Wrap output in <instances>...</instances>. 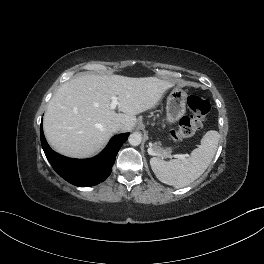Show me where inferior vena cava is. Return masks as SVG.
I'll use <instances>...</instances> for the list:
<instances>
[{
  "mask_svg": "<svg viewBox=\"0 0 264 264\" xmlns=\"http://www.w3.org/2000/svg\"><path fill=\"white\" fill-rule=\"evenodd\" d=\"M123 125L121 123H116L112 126V129L114 132L120 131L122 129Z\"/></svg>",
  "mask_w": 264,
  "mask_h": 264,
  "instance_id": "inferior-vena-cava-1",
  "label": "inferior vena cava"
}]
</instances>
